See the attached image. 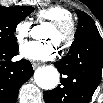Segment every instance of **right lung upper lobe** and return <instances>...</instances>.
Listing matches in <instances>:
<instances>
[{
	"mask_svg": "<svg viewBox=\"0 0 103 103\" xmlns=\"http://www.w3.org/2000/svg\"><path fill=\"white\" fill-rule=\"evenodd\" d=\"M20 6H15L14 8H19Z\"/></svg>",
	"mask_w": 103,
	"mask_h": 103,
	"instance_id": "cb5924a9",
	"label": "right lung upper lobe"
}]
</instances>
